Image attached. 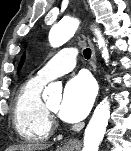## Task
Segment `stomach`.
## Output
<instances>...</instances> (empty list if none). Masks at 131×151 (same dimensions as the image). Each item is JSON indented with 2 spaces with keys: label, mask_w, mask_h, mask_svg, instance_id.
Masks as SVG:
<instances>
[{
  "label": "stomach",
  "mask_w": 131,
  "mask_h": 151,
  "mask_svg": "<svg viewBox=\"0 0 131 151\" xmlns=\"http://www.w3.org/2000/svg\"><path fill=\"white\" fill-rule=\"evenodd\" d=\"M62 151H66V150L63 148ZM68 151H73V150H72V149H69Z\"/></svg>",
  "instance_id": "obj_1"
}]
</instances>
